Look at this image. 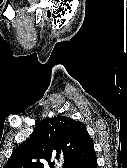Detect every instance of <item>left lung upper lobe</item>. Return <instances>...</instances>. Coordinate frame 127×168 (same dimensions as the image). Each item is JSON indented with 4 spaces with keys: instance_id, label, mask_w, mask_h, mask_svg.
Listing matches in <instances>:
<instances>
[{
    "instance_id": "obj_1",
    "label": "left lung upper lobe",
    "mask_w": 127,
    "mask_h": 168,
    "mask_svg": "<svg viewBox=\"0 0 127 168\" xmlns=\"http://www.w3.org/2000/svg\"><path fill=\"white\" fill-rule=\"evenodd\" d=\"M29 139L16 148L4 168H54L62 156V168H73L83 142L89 137L85 125L57 116L36 122Z\"/></svg>"
}]
</instances>
